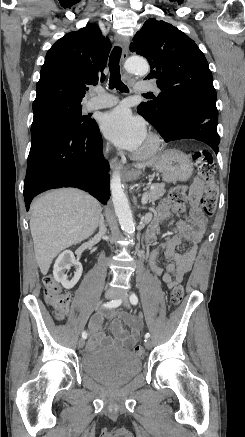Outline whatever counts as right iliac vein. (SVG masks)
<instances>
[{
	"label": "right iliac vein",
	"instance_id": "obj_1",
	"mask_svg": "<svg viewBox=\"0 0 245 437\" xmlns=\"http://www.w3.org/2000/svg\"><path fill=\"white\" fill-rule=\"evenodd\" d=\"M117 296H118V294H117L115 291H113V290H108V291L105 293V297H106L107 299L116 298ZM84 345H85V340H84V338L79 339V341H78V347H79V348H83Z\"/></svg>",
	"mask_w": 245,
	"mask_h": 437
}]
</instances>
